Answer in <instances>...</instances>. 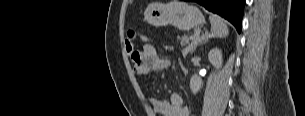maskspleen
<instances>
[{
	"label": "spleen",
	"mask_w": 305,
	"mask_h": 116,
	"mask_svg": "<svg viewBox=\"0 0 305 116\" xmlns=\"http://www.w3.org/2000/svg\"><path fill=\"white\" fill-rule=\"evenodd\" d=\"M209 19L211 23V37L222 38L229 34V29L224 19L220 16L212 14L209 16Z\"/></svg>",
	"instance_id": "1"
}]
</instances>
